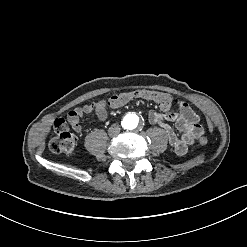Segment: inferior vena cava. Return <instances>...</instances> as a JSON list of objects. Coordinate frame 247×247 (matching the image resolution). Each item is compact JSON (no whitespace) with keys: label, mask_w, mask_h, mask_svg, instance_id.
Listing matches in <instances>:
<instances>
[{"label":"inferior vena cava","mask_w":247,"mask_h":247,"mask_svg":"<svg viewBox=\"0 0 247 247\" xmlns=\"http://www.w3.org/2000/svg\"><path fill=\"white\" fill-rule=\"evenodd\" d=\"M121 127L118 124L112 125L109 130H108V134L110 136H116L120 133Z\"/></svg>","instance_id":"obj_1"}]
</instances>
